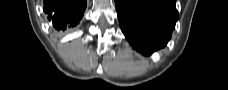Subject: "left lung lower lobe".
<instances>
[{"label": "left lung lower lobe", "mask_w": 228, "mask_h": 90, "mask_svg": "<svg viewBox=\"0 0 228 90\" xmlns=\"http://www.w3.org/2000/svg\"><path fill=\"white\" fill-rule=\"evenodd\" d=\"M175 0H115L122 32L138 51L149 54L169 41L178 19Z\"/></svg>", "instance_id": "obj_1"}]
</instances>
